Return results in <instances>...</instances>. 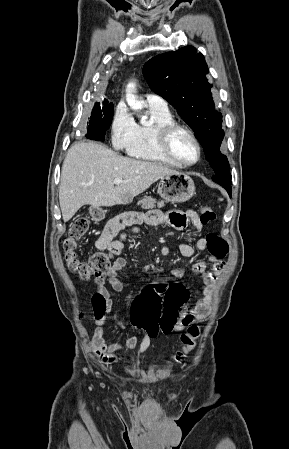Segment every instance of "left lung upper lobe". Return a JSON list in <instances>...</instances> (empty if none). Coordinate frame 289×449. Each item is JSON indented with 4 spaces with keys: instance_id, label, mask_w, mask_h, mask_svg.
<instances>
[{
    "instance_id": "1",
    "label": "left lung upper lobe",
    "mask_w": 289,
    "mask_h": 449,
    "mask_svg": "<svg viewBox=\"0 0 289 449\" xmlns=\"http://www.w3.org/2000/svg\"><path fill=\"white\" fill-rule=\"evenodd\" d=\"M208 72L204 56L192 46L155 56L143 67L149 87L193 129L215 171L212 179L222 186L231 185L229 162L220 152L224 137L222 114L214 109Z\"/></svg>"
}]
</instances>
